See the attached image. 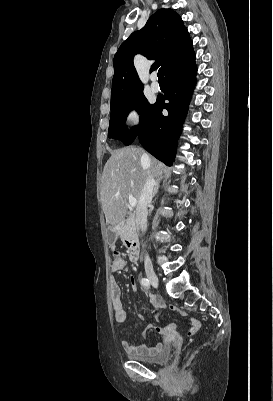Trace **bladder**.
I'll use <instances>...</instances> for the list:
<instances>
[{
	"label": "bladder",
	"instance_id": "bladder-1",
	"mask_svg": "<svg viewBox=\"0 0 273 401\" xmlns=\"http://www.w3.org/2000/svg\"><path fill=\"white\" fill-rule=\"evenodd\" d=\"M172 356V349H171V345L167 344L162 351L160 352V354L155 357L154 359H147V358H143V357H139V356H131V359L143 364H147V365H161L164 364L166 362H168L170 360Z\"/></svg>",
	"mask_w": 273,
	"mask_h": 401
}]
</instances>
